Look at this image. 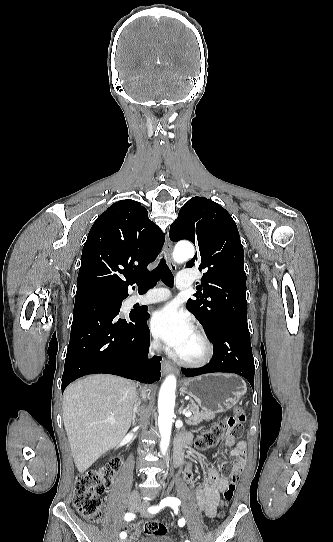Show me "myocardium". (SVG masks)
Wrapping results in <instances>:
<instances>
[{
	"mask_svg": "<svg viewBox=\"0 0 333 542\" xmlns=\"http://www.w3.org/2000/svg\"><path fill=\"white\" fill-rule=\"evenodd\" d=\"M195 334L199 339V342L202 346V353L199 357L194 359H186L176 356L175 354H169L171 359L184 367H191V368H199L206 366L208 363L211 362L213 355H214V347L212 342L210 341L209 337L205 333L204 330L201 328L195 329Z\"/></svg>",
	"mask_w": 333,
	"mask_h": 542,
	"instance_id": "1",
	"label": "myocardium"
}]
</instances>
